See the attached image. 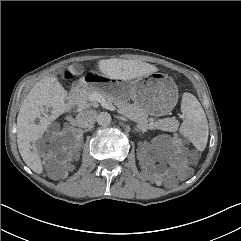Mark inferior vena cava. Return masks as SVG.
<instances>
[{"mask_svg": "<svg viewBox=\"0 0 241 241\" xmlns=\"http://www.w3.org/2000/svg\"><path fill=\"white\" fill-rule=\"evenodd\" d=\"M97 113L92 109L79 112L76 116V125L82 128H89L94 125Z\"/></svg>", "mask_w": 241, "mask_h": 241, "instance_id": "obj_1", "label": "inferior vena cava"}]
</instances>
